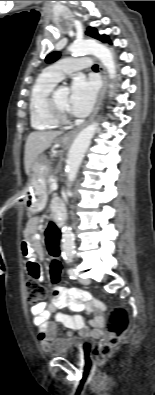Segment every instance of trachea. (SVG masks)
Returning a JSON list of instances; mask_svg holds the SVG:
<instances>
[{
  "label": "trachea",
  "mask_w": 155,
  "mask_h": 395,
  "mask_svg": "<svg viewBox=\"0 0 155 395\" xmlns=\"http://www.w3.org/2000/svg\"><path fill=\"white\" fill-rule=\"evenodd\" d=\"M92 68L93 70H98V65H94Z\"/></svg>",
  "instance_id": "obj_1"
}]
</instances>
